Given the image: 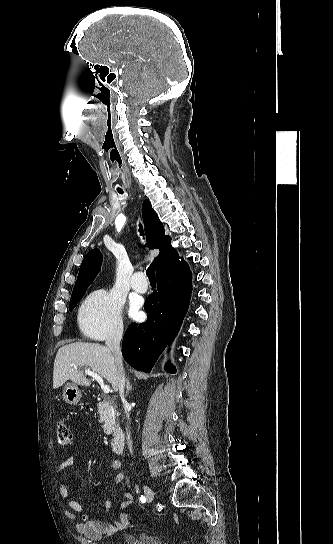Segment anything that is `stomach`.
Here are the masks:
<instances>
[{
	"label": "stomach",
	"mask_w": 333,
	"mask_h": 544,
	"mask_svg": "<svg viewBox=\"0 0 333 544\" xmlns=\"http://www.w3.org/2000/svg\"><path fill=\"white\" fill-rule=\"evenodd\" d=\"M82 397L81 390L73 383H67L63 389V399L70 405L79 403Z\"/></svg>",
	"instance_id": "obj_1"
}]
</instances>
